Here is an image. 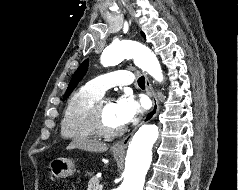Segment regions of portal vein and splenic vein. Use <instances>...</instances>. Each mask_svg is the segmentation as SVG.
<instances>
[{
    "mask_svg": "<svg viewBox=\"0 0 238 190\" xmlns=\"http://www.w3.org/2000/svg\"><path fill=\"white\" fill-rule=\"evenodd\" d=\"M103 189V185H99V190H102Z\"/></svg>",
    "mask_w": 238,
    "mask_h": 190,
    "instance_id": "portal-vein-and-splenic-vein-1",
    "label": "portal vein and splenic vein"
}]
</instances>
